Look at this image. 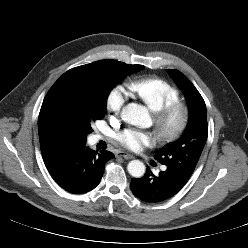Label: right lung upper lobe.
I'll use <instances>...</instances> for the list:
<instances>
[{
  "instance_id": "obj_1",
  "label": "right lung upper lobe",
  "mask_w": 248,
  "mask_h": 248,
  "mask_svg": "<svg viewBox=\"0 0 248 248\" xmlns=\"http://www.w3.org/2000/svg\"><path fill=\"white\" fill-rule=\"evenodd\" d=\"M38 131L44 162L60 152L80 144L77 138L68 130L48 122L40 115L38 118Z\"/></svg>"
}]
</instances>
